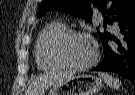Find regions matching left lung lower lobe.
<instances>
[{
	"mask_svg": "<svg viewBox=\"0 0 135 95\" xmlns=\"http://www.w3.org/2000/svg\"><path fill=\"white\" fill-rule=\"evenodd\" d=\"M118 26L123 38L118 40L110 34L102 40L104 58L92 71L117 73L135 86V12L119 22Z\"/></svg>",
	"mask_w": 135,
	"mask_h": 95,
	"instance_id": "obj_1",
	"label": "left lung lower lobe"
}]
</instances>
